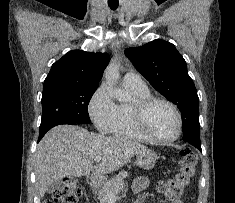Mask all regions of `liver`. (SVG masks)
I'll list each match as a JSON object with an SVG mask.
<instances>
[{
    "label": "liver",
    "mask_w": 235,
    "mask_h": 203,
    "mask_svg": "<svg viewBox=\"0 0 235 203\" xmlns=\"http://www.w3.org/2000/svg\"><path fill=\"white\" fill-rule=\"evenodd\" d=\"M146 146L136 141L109 137L73 126L59 125L49 130L35 153L36 185L41 197L55 182L65 177H95L123 167ZM101 162L94 165L95 158Z\"/></svg>",
    "instance_id": "obj_1"
}]
</instances>
